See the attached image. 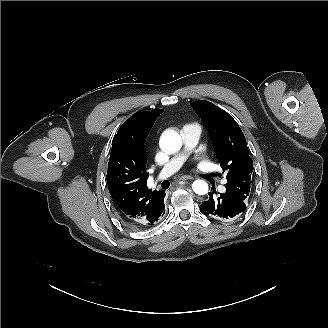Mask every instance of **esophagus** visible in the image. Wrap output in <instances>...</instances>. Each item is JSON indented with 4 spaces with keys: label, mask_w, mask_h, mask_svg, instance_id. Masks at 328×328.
Instances as JSON below:
<instances>
[{
    "label": "esophagus",
    "mask_w": 328,
    "mask_h": 328,
    "mask_svg": "<svg viewBox=\"0 0 328 328\" xmlns=\"http://www.w3.org/2000/svg\"><path fill=\"white\" fill-rule=\"evenodd\" d=\"M191 179H193V177L189 175H184L180 177V180H191Z\"/></svg>",
    "instance_id": "obj_1"
}]
</instances>
